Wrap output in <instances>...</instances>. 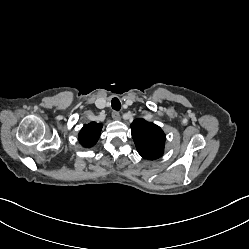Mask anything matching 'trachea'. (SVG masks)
<instances>
[{
    "instance_id": "3493384b",
    "label": "trachea",
    "mask_w": 249,
    "mask_h": 249,
    "mask_svg": "<svg viewBox=\"0 0 249 249\" xmlns=\"http://www.w3.org/2000/svg\"><path fill=\"white\" fill-rule=\"evenodd\" d=\"M111 103L114 110L119 111L121 109V103L118 98H113Z\"/></svg>"
}]
</instances>
